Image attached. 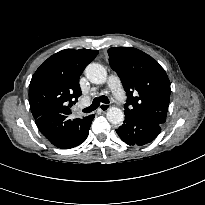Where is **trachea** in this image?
<instances>
[{
    "label": "trachea",
    "instance_id": "trachea-1",
    "mask_svg": "<svg viewBox=\"0 0 205 205\" xmlns=\"http://www.w3.org/2000/svg\"><path fill=\"white\" fill-rule=\"evenodd\" d=\"M100 102L108 104L109 103V99L106 96H104V95H102L100 97H96L93 100L92 105L87 107V108H85V109H83V112L84 113H90V112L94 111L95 109L98 108V106L100 105Z\"/></svg>",
    "mask_w": 205,
    "mask_h": 205
}]
</instances>
